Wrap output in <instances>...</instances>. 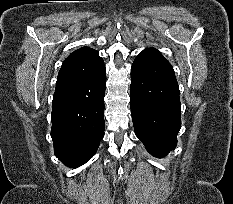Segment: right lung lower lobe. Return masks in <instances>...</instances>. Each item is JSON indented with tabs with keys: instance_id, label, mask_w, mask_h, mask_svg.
Listing matches in <instances>:
<instances>
[{
	"instance_id": "obj_1",
	"label": "right lung lower lobe",
	"mask_w": 233,
	"mask_h": 204,
	"mask_svg": "<svg viewBox=\"0 0 233 204\" xmlns=\"http://www.w3.org/2000/svg\"><path fill=\"white\" fill-rule=\"evenodd\" d=\"M106 69L55 90L51 137L56 157L71 168L87 162L104 136Z\"/></svg>"
}]
</instances>
